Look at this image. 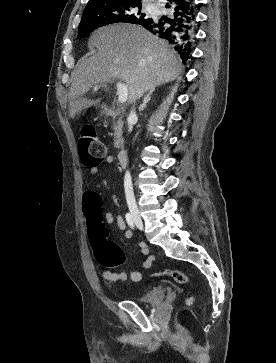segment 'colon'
Returning <instances> with one entry per match:
<instances>
[{
    "mask_svg": "<svg viewBox=\"0 0 276 363\" xmlns=\"http://www.w3.org/2000/svg\"><path fill=\"white\" fill-rule=\"evenodd\" d=\"M79 151L84 164L95 166L100 164L106 157V148L91 127H83L80 131ZM89 234L93 246L94 257L103 267L114 268L124 263L125 256L122 249L114 242L107 240V229L97 217V211L87 209ZM163 275L171 277L179 284L188 281L187 275L177 269H165ZM193 299L188 298L185 306L190 307Z\"/></svg>",
    "mask_w": 276,
    "mask_h": 363,
    "instance_id": "5ec220e1",
    "label": "colon"
}]
</instances>
